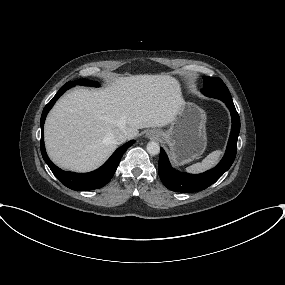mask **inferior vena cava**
<instances>
[{"label":"inferior vena cava","mask_w":285,"mask_h":285,"mask_svg":"<svg viewBox=\"0 0 285 285\" xmlns=\"http://www.w3.org/2000/svg\"><path fill=\"white\" fill-rule=\"evenodd\" d=\"M129 139V134L126 130H118L112 135V140L116 144H122Z\"/></svg>","instance_id":"inferior-vena-cava-1"}]
</instances>
